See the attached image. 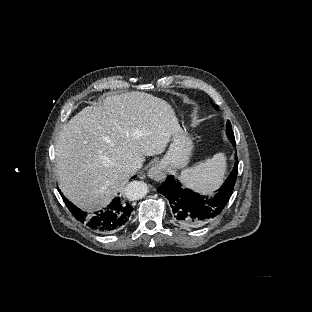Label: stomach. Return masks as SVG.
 Returning a JSON list of instances; mask_svg holds the SVG:
<instances>
[{
    "label": "stomach",
    "instance_id": "1",
    "mask_svg": "<svg viewBox=\"0 0 312 312\" xmlns=\"http://www.w3.org/2000/svg\"><path fill=\"white\" fill-rule=\"evenodd\" d=\"M193 148V141L187 132L182 129L174 132L169 149L159 162V166L168 172L186 167Z\"/></svg>",
    "mask_w": 312,
    "mask_h": 312
}]
</instances>
